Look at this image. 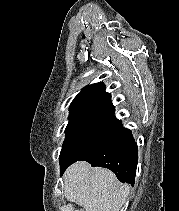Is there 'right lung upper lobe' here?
<instances>
[{
    "mask_svg": "<svg viewBox=\"0 0 179 211\" xmlns=\"http://www.w3.org/2000/svg\"><path fill=\"white\" fill-rule=\"evenodd\" d=\"M111 95L102 82L84 87L70 105V115L85 112H114Z\"/></svg>",
    "mask_w": 179,
    "mask_h": 211,
    "instance_id": "right-lung-upper-lobe-1",
    "label": "right lung upper lobe"
}]
</instances>
